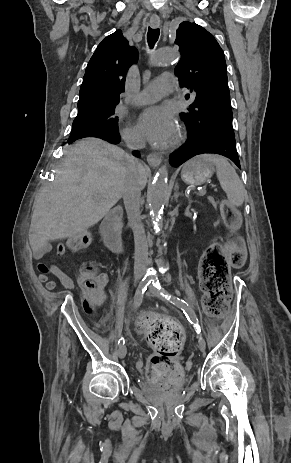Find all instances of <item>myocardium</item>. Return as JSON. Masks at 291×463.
<instances>
[{
	"label": "myocardium",
	"instance_id": "obj_1",
	"mask_svg": "<svg viewBox=\"0 0 291 463\" xmlns=\"http://www.w3.org/2000/svg\"><path fill=\"white\" fill-rule=\"evenodd\" d=\"M172 145H177L182 140V132L178 130L172 138Z\"/></svg>",
	"mask_w": 291,
	"mask_h": 463
}]
</instances>
